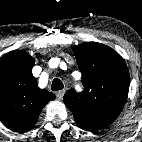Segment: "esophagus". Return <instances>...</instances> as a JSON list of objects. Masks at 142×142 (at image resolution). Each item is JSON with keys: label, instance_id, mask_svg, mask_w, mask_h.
<instances>
[{"label": "esophagus", "instance_id": "34e87169", "mask_svg": "<svg viewBox=\"0 0 142 142\" xmlns=\"http://www.w3.org/2000/svg\"><path fill=\"white\" fill-rule=\"evenodd\" d=\"M65 94V90H60L56 93V97L58 100H62L63 99V96Z\"/></svg>", "mask_w": 142, "mask_h": 142}]
</instances>
